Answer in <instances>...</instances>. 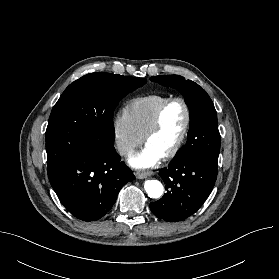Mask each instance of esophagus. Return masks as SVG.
Returning <instances> with one entry per match:
<instances>
[{
  "label": "esophagus",
  "instance_id": "obj_1",
  "mask_svg": "<svg viewBox=\"0 0 279 279\" xmlns=\"http://www.w3.org/2000/svg\"><path fill=\"white\" fill-rule=\"evenodd\" d=\"M153 172L151 171H146V172H136V178L137 179H144L147 178L148 176H151Z\"/></svg>",
  "mask_w": 279,
  "mask_h": 279
}]
</instances>
